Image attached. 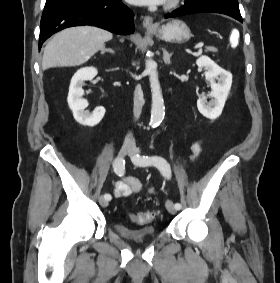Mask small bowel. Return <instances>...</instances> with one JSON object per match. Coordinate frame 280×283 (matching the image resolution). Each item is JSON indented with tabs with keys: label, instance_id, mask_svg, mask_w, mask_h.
I'll return each mask as SVG.
<instances>
[{
	"label": "small bowel",
	"instance_id": "1",
	"mask_svg": "<svg viewBox=\"0 0 280 283\" xmlns=\"http://www.w3.org/2000/svg\"><path fill=\"white\" fill-rule=\"evenodd\" d=\"M201 152V144L196 141L192 145V157H197ZM142 191L141 182L133 176H126L115 184L114 195L117 198L129 197ZM153 193L154 189H149Z\"/></svg>",
	"mask_w": 280,
	"mask_h": 283
}]
</instances>
